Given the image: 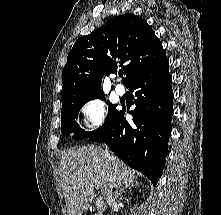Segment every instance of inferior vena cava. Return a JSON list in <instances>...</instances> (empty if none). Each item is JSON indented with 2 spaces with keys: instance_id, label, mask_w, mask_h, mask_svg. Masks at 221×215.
<instances>
[{
  "instance_id": "inferior-vena-cava-1",
  "label": "inferior vena cava",
  "mask_w": 221,
  "mask_h": 215,
  "mask_svg": "<svg viewBox=\"0 0 221 215\" xmlns=\"http://www.w3.org/2000/svg\"><path fill=\"white\" fill-rule=\"evenodd\" d=\"M105 152H106V156L108 157V159L111 160L112 157L110 156V154H109V152H108L107 149H106ZM114 201H115V194H114L113 188H112V186H111V187H110V190H109V192H108V196H107V198H106V202H107L108 205H111Z\"/></svg>"
}]
</instances>
